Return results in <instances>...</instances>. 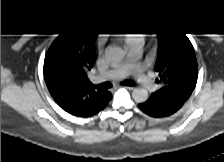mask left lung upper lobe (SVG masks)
Listing matches in <instances>:
<instances>
[{"label":"left lung upper lobe","mask_w":224,"mask_h":162,"mask_svg":"<svg viewBox=\"0 0 224 162\" xmlns=\"http://www.w3.org/2000/svg\"><path fill=\"white\" fill-rule=\"evenodd\" d=\"M156 34L159 44L154 69L159 72L163 87L150 99L183 104L197 83L198 68L193 46L186 36L170 30H157Z\"/></svg>","instance_id":"1"}]
</instances>
